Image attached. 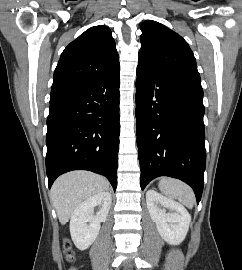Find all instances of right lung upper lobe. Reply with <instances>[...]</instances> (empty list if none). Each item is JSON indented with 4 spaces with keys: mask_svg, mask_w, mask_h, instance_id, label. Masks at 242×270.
<instances>
[{
    "mask_svg": "<svg viewBox=\"0 0 242 270\" xmlns=\"http://www.w3.org/2000/svg\"><path fill=\"white\" fill-rule=\"evenodd\" d=\"M119 69V57L110 29L94 26L62 52L54 72L51 97L59 96Z\"/></svg>",
    "mask_w": 242,
    "mask_h": 270,
    "instance_id": "obj_1",
    "label": "right lung upper lobe"
}]
</instances>
